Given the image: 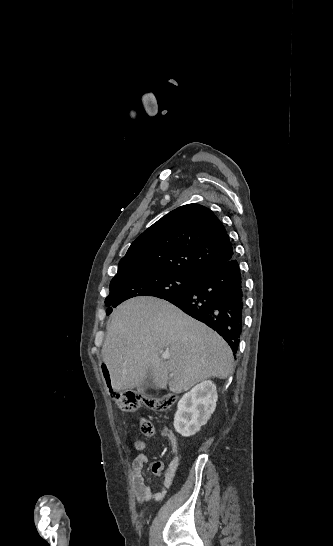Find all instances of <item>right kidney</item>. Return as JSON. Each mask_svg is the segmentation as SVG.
I'll use <instances>...</instances> for the list:
<instances>
[{
    "label": "right kidney",
    "mask_w": 333,
    "mask_h": 546,
    "mask_svg": "<svg viewBox=\"0 0 333 546\" xmlns=\"http://www.w3.org/2000/svg\"><path fill=\"white\" fill-rule=\"evenodd\" d=\"M216 385L204 381L185 393L178 402L174 417L175 430L184 437L195 435L211 417L216 408Z\"/></svg>",
    "instance_id": "right-kidney-1"
}]
</instances>
